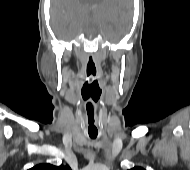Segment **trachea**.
Wrapping results in <instances>:
<instances>
[{"mask_svg":"<svg viewBox=\"0 0 190 170\" xmlns=\"http://www.w3.org/2000/svg\"><path fill=\"white\" fill-rule=\"evenodd\" d=\"M92 139H95L96 138V136H90Z\"/></svg>","mask_w":190,"mask_h":170,"instance_id":"3493384b","label":"trachea"}]
</instances>
